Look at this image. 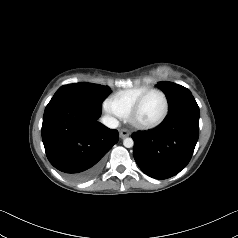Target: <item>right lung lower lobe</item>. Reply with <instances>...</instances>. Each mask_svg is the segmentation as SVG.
Masks as SVG:
<instances>
[{
  "label": "right lung lower lobe",
  "instance_id": "1",
  "mask_svg": "<svg viewBox=\"0 0 238 238\" xmlns=\"http://www.w3.org/2000/svg\"><path fill=\"white\" fill-rule=\"evenodd\" d=\"M101 106L71 96L53 97L45 108L42 141L50 163L72 181L95 177L104 155L119 140L117 130L98 122Z\"/></svg>",
  "mask_w": 238,
  "mask_h": 238
}]
</instances>
